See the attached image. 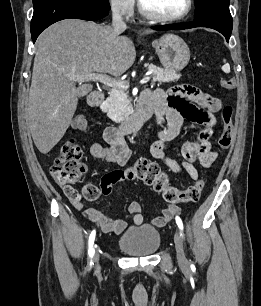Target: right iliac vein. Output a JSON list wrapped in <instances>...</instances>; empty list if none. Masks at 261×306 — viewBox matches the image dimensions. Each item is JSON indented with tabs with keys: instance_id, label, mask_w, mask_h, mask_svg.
<instances>
[{
	"instance_id": "63e3f726",
	"label": "right iliac vein",
	"mask_w": 261,
	"mask_h": 306,
	"mask_svg": "<svg viewBox=\"0 0 261 306\" xmlns=\"http://www.w3.org/2000/svg\"><path fill=\"white\" fill-rule=\"evenodd\" d=\"M94 260H95L96 264H98V261H99V255L98 254H96Z\"/></svg>"
}]
</instances>
